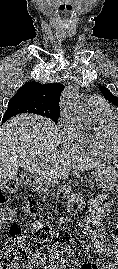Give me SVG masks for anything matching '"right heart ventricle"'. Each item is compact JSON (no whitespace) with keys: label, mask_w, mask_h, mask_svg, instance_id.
Returning <instances> with one entry per match:
<instances>
[{"label":"right heart ventricle","mask_w":118,"mask_h":269,"mask_svg":"<svg viewBox=\"0 0 118 269\" xmlns=\"http://www.w3.org/2000/svg\"><path fill=\"white\" fill-rule=\"evenodd\" d=\"M90 113L94 121V129L91 133L86 134L76 147L86 154L118 159V153L110 138V126L118 119V114L107 104L90 109Z\"/></svg>","instance_id":"obj_1"}]
</instances>
